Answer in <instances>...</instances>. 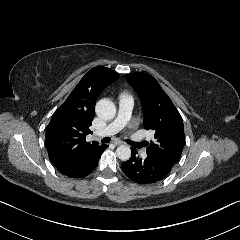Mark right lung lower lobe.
<instances>
[{
    "label": "right lung lower lobe",
    "mask_w": 240,
    "mask_h": 240,
    "mask_svg": "<svg viewBox=\"0 0 240 240\" xmlns=\"http://www.w3.org/2000/svg\"><path fill=\"white\" fill-rule=\"evenodd\" d=\"M106 145L101 146L99 149L88 153L81 161L68 164L57 165L56 169L63 175L70 178H82L89 175L97 166L101 154L106 149Z\"/></svg>",
    "instance_id": "98d812e1"
}]
</instances>
